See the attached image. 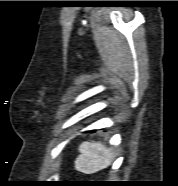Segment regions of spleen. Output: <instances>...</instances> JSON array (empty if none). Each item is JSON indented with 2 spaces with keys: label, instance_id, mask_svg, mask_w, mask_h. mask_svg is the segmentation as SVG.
<instances>
[{
  "label": "spleen",
  "instance_id": "1",
  "mask_svg": "<svg viewBox=\"0 0 178 186\" xmlns=\"http://www.w3.org/2000/svg\"><path fill=\"white\" fill-rule=\"evenodd\" d=\"M80 155L76 160V169L84 173H95L108 167L113 154L109 148L100 142H83L79 146Z\"/></svg>",
  "mask_w": 178,
  "mask_h": 186
}]
</instances>
